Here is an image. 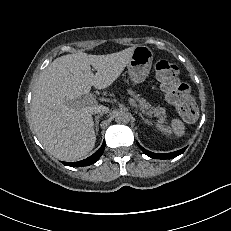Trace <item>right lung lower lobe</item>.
<instances>
[{
	"label": "right lung lower lobe",
	"instance_id": "right-lung-lower-lobe-1",
	"mask_svg": "<svg viewBox=\"0 0 231 231\" xmlns=\"http://www.w3.org/2000/svg\"><path fill=\"white\" fill-rule=\"evenodd\" d=\"M104 149H105V143L103 142L102 146L90 157L79 162H73V163L63 162V163L64 165L71 166V167L88 166L94 164L100 158Z\"/></svg>",
	"mask_w": 231,
	"mask_h": 231
}]
</instances>
